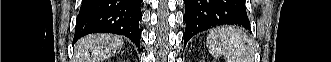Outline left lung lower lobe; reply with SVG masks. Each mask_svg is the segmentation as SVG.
Returning a JSON list of instances; mask_svg holds the SVG:
<instances>
[{"mask_svg": "<svg viewBox=\"0 0 331 62\" xmlns=\"http://www.w3.org/2000/svg\"><path fill=\"white\" fill-rule=\"evenodd\" d=\"M184 3V45L195 34L218 25H238L250 30L245 0H184Z\"/></svg>", "mask_w": 331, "mask_h": 62, "instance_id": "1", "label": "left lung lower lobe"}]
</instances>
